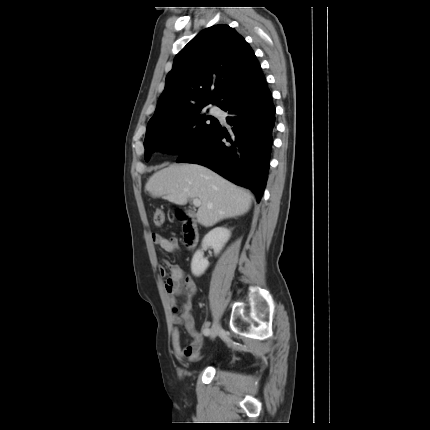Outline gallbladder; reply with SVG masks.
<instances>
[{
	"label": "gallbladder",
	"mask_w": 430,
	"mask_h": 430,
	"mask_svg": "<svg viewBox=\"0 0 430 430\" xmlns=\"http://www.w3.org/2000/svg\"><path fill=\"white\" fill-rule=\"evenodd\" d=\"M186 213H187V215H189V216H191V215H192V212H190V211H186Z\"/></svg>",
	"instance_id": "1"
}]
</instances>
